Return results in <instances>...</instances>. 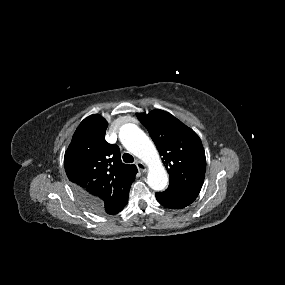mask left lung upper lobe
<instances>
[{
  "instance_id": "obj_1",
  "label": "left lung upper lobe",
  "mask_w": 285,
  "mask_h": 285,
  "mask_svg": "<svg viewBox=\"0 0 285 285\" xmlns=\"http://www.w3.org/2000/svg\"><path fill=\"white\" fill-rule=\"evenodd\" d=\"M138 118L162 156L170 175L169 185L200 191L206 171V157L197 134L162 110L140 113Z\"/></svg>"
}]
</instances>
